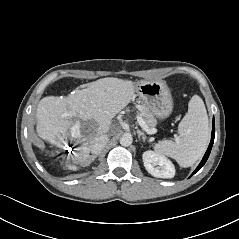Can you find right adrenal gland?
<instances>
[{
	"label": "right adrenal gland",
	"instance_id": "1",
	"mask_svg": "<svg viewBox=\"0 0 239 239\" xmlns=\"http://www.w3.org/2000/svg\"><path fill=\"white\" fill-rule=\"evenodd\" d=\"M90 158H93V159H94V158H96V156H90Z\"/></svg>",
	"mask_w": 239,
	"mask_h": 239
}]
</instances>
